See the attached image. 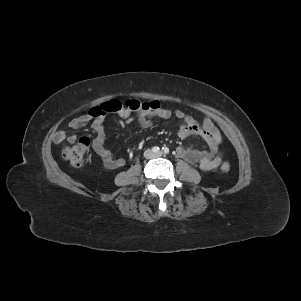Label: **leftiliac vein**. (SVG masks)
<instances>
[{
  "mask_svg": "<svg viewBox=\"0 0 301 301\" xmlns=\"http://www.w3.org/2000/svg\"><path fill=\"white\" fill-rule=\"evenodd\" d=\"M162 155V152H158L157 154H156V156H161Z\"/></svg>",
  "mask_w": 301,
  "mask_h": 301,
  "instance_id": "left-iliac-vein-1",
  "label": "left iliac vein"
}]
</instances>
